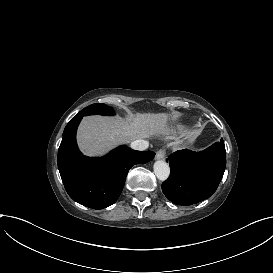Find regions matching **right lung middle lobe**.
<instances>
[{"label":"right lung middle lobe","instance_id":"dd1d6c3e","mask_svg":"<svg viewBox=\"0 0 273 273\" xmlns=\"http://www.w3.org/2000/svg\"><path fill=\"white\" fill-rule=\"evenodd\" d=\"M90 114H101V115H113L112 107L107 106L106 104H92L81 110L75 116H87Z\"/></svg>","mask_w":273,"mask_h":273}]
</instances>
